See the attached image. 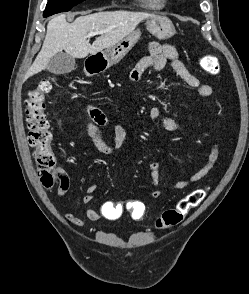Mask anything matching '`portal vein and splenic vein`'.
Returning a JSON list of instances; mask_svg holds the SVG:
<instances>
[{"label":"portal vein and splenic vein","instance_id":"1","mask_svg":"<svg viewBox=\"0 0 249 294\" xmlns=\"http://www.w3.org/2000/svg\"><path fill=\"white\" fill-rule=\"evenodd\" d=\"M98 33L100 34V33H102V32H91L89 35H90V36H94V35H96V34H98Z\"/></svg>","mask_w":249,"mask_h":294}]
</instances>
